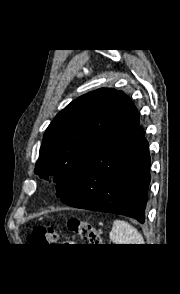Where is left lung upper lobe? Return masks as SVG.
Returning a JSON list of instances; mask_svg holds the SVG:
<instances>
[{
	"mask_svg": "<svg viewBox=\"0 0 180 294\" xmlns=\"http://www.w3.org/2000/svg\"><path fill=\"white\" fill-rule=\"evenodd\" d=\"M131 99L101 88L72 101L46 129L35 173L53 177L57 197L70 194L91 157L123 117Z\"/></svg>",
	"mask_w": 180,
	"mask_h": 294,
	"instance_id": "obj_1",
	"label": "left lung upper lobe"
}]
</instances>
